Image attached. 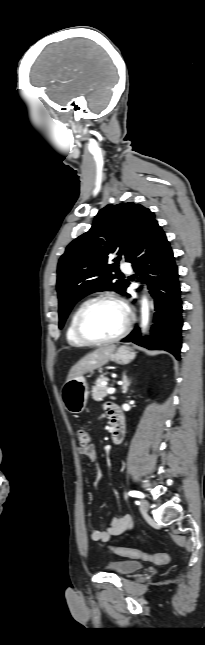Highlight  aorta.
Here are the masks:
<instances>
[{
  "instance_id": "1",
  "label": "aorta",
  "mask_w": 205,
  "mask_h": 645,
  "mask_svg": "<svg viewBox=\"0 0 205 645\" xmlns=\"http://www.w3.org/2000/svg\"><path fill=\"white\" fill-rule=\"evenodd\" d=\"M141 315H142V326L145 327L148 324V320H149V306H148V301L145 297L142 299Z\"/></svg>"
}]
</instances>
